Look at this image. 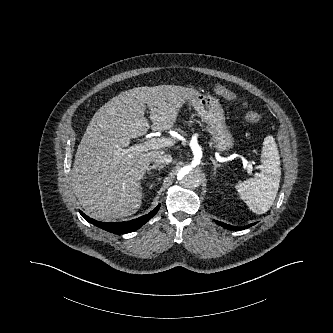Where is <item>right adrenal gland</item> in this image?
<instances>
[{
    "label": "right adrenal gland",
    "instance_id": "1",
    "mask_svg": "<svg viewBox=\"0 0 333 333\" xmlns=\"http://www.w3.org/2000/svg\"><path fill=\"white\" fill-rule=\"evenodd\" d=\"M162 168H164V165H153V166H150L147 171H148V174H152L151 170H158L160 171Z\"/></svg>",
    "mask_w": 333,
    "mask_h": 333
}]
</instances>
